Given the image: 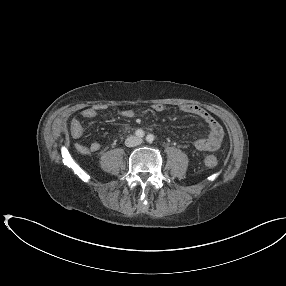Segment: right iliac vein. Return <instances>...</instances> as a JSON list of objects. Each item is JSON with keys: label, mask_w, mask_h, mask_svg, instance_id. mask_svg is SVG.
Wrapping results in <instances>:
<instances>
[{"label": "right iliac vein", "mask_w": 286, "mask_h": 286, "mask_svg": "<svg viewBox=\"0 0 286 286\" xmlns=\"http://www.w3.org/2000/svg\"><path fill=\"white\" fill-rule=\"evenodd\" d=\"M136 142H137V139L134 136H130L126 139L125 145L127 147H132L136 144Z\"/></svg>", "instance_id": "1"}]
</instances>
